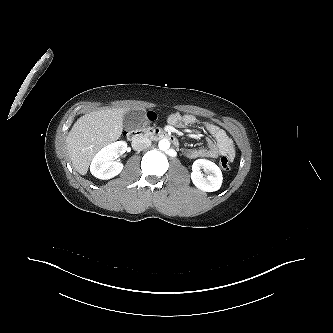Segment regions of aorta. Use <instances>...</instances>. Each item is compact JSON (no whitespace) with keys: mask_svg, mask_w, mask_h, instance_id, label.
Here are the masks:
<instances>
[{"mask_svg":"<svg viewBox=\"0 0 333 333\" xmlns=\"http://www.w3.org/2000/svg\"><path fill=\"white\" fill-rule=\"evenodd\" d=\"M159 149L162 151L168 150L170 147V142L167 139H161L158 143Z\"/></svg>","mask_w":333,"mask_h":333,"instance_id":"762f6f07","label":"aorta"}]
</instances>
